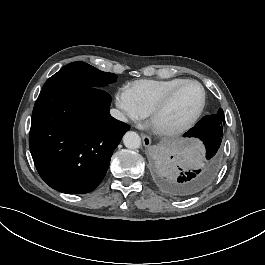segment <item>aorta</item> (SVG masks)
<instances>
[{"label": "aorta", "instance_id": "1", "mask_svg": "<svg viewBox=\"0 0 265 265\" xmlns=\"http://www.w3.org/2000/svg\"><path fill=\"white\" fill-rule=\"evenodd\" d=\"M123 143L129 149H137L141 145V138L136 132L128 131L123 136Z\"/></svg>", "mask_w": 265, "mask_h": 265}]
</instances>
